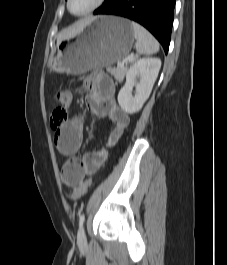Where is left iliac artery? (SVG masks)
Segmentation results:
<instances>
[{
    "instance_id": "left-iliac-artery-1",
    "label": "left iliac artery",
    "mask_w": 227,
    "mask_h": 265,
    "mask_svg": "<svg viewBox=\"0 0 227 265\" xmlns=\"http://www.w3.org/2000/svg\"><path fill=\"white\" fill-rule=\"evenodd\" d=\"M84 219H85V216H84V214L82 213V214L79 216V227H80V228L83 226Z\"/></svg>"
}]
</instances>
